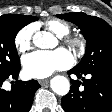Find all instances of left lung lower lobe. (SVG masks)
Here are the masks:
<instances>
[{"instance_id":"left-lung-lower-lobe-1","label":"left lung lower lobe","mask_w":112,"mask_h":112,"mask_svg":"<svg viewBox=\"0 0 112 112\" xmlns=\"http://www.w3.org/2000/svg\"><path fill=\"white\" fill-rule=\"evenodd\" d=\"M78 80H71L69 93L61 100L65 112H111L112 111V65H104L89 71L71 69ZM90 75V79L83 76ZM84 86V89L80 87Z\"/></svg>"}]
</instances>
